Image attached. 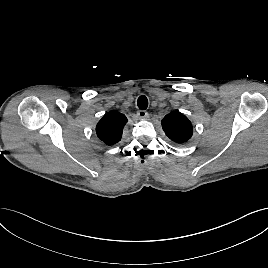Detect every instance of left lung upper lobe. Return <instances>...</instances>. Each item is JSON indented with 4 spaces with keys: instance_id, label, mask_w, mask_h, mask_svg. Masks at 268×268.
Segmentation results:
<instances>
[{
    "instance_id": "obj_1",
    "label": "left lung upper lobe",
    "mask_w": 268,
    "mask_h": 268,
    "mask_svg": "<svg viewBox=\"0 0 268 268\" xmlns=\"http://www.w3.org/2000/svg\"><path fill=\"white\" fill-rule=\"evenodd\" d=\"M168 138L176 144H185L193 135V127L189 119L178 111H172L161 121Z\"/></svg>"
}]
</instances>
